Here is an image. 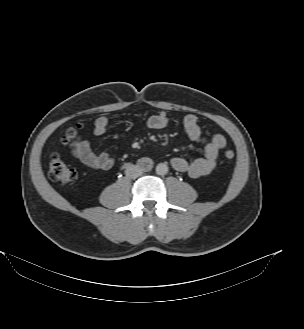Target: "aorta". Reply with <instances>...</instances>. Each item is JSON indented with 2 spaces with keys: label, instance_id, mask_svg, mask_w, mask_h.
<instances>
[{
  "label": "aorta",
  "instance_id": "obj_1",
  "mask_svg": "<svg viewBox=\"0 0 304 329\" xmlns=\"http://www.w3.org/2000/svg\"><path fill=\"white\" fill-rule=\"evenodd\" d=\"M168 172V166L166 163H159L156 166V173L159 175H165Z\"/></svg>",
  "mask_w": 304,
  "mask_h": 329
}]
</instances>
